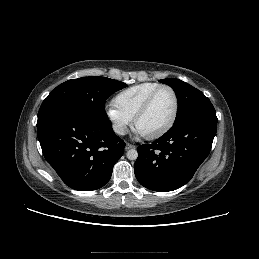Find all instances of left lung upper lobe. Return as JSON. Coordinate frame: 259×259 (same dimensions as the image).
Returning a JSON list of instances; mask_svg holds the SVG:
<instances>
[{
	"label": "left lung upper lobe",
	"instance_id": "1",
	"mask_svg": "<svg viewBox=\"0 0 259 259\" xmlns=\"http://www.w3.org/2000/svg\"><path fill=\"white\" fill-rule=\"evenodd\" d=\"M176 93L179 108L174 123L193 117L217 120L216 111L210 100L198 89L179 79H162Z\"/></svg>",
	"mask_w": 259,
	"mask_h": 259
}]
</instances>
